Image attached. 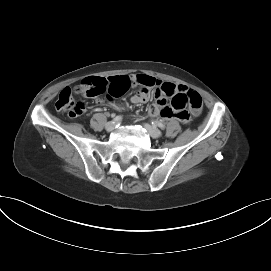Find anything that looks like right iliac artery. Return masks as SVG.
Instances as JSON below:
<instances>
[{
    "label": "right iliac artery",
    "instance_id": "right-iliac-artery-1",
    "mask_svg": "<svg viewBox=\"0 0 271 271\" xmlns=\"http://www.w3.org/2000/svg\"><path fill=\"white\" fill-rule=\"evenodd\" d=\"M121 120H122V117H121L120 115L113 118V122H114V123H118V122H120Z\"/></svg>",
    "mask_w": 271,
    "mask_h": 271
}]
</instances>
